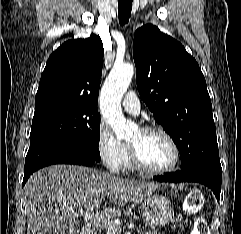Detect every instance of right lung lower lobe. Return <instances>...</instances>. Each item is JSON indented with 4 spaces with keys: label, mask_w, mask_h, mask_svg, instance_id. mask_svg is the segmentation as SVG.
<instances>
[{
    "label": "right lung lower lobe",
    "mask_w": 241,
    "mask_h": 234,
    "mask_svg": "<svg viewBox=\"0 0 241 234\" xmlns=\"http://www.w3.org/2000/svg\"><path fill=\"white\" fill-rule=\"evenodd\" d=\"M95 162L97 161L90 155L65 142L50 141L30 146L25 158L23 185L33 172L48 165L91 166Z\"/></svg>",
    "instance_id": "1"
}]
</instances>
